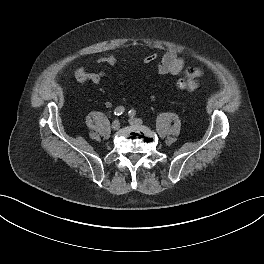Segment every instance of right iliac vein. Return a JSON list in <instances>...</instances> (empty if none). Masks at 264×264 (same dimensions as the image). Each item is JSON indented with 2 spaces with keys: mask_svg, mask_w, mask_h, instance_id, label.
<instances>
[{
  "mask_svg": "<svg viewBox=\"0 0 264 264\" xmlns=\"http://www.w3.org/2000/svg\"><path fill=\"white\" fill-rule=\"evenodd\" d=\"M113 130H118L120 128V122L119 120H114L111 125Z\"/></svg>",
  "mask_w": 264,
  "mask_h": 264,
  "instance_id": "1",
  "label": "right iliac vein"
}]
</instances>
